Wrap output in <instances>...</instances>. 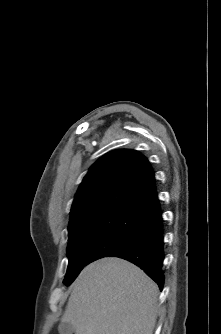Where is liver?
Instances as JSON below:
<instances>
[{"instance_id": "6515ba94", "label": "liver", "mask_w": 221, "mask_h": 334, "mask_svg": "<svg viewBox=\"0 0 221 334\" xmlns=\"http://www.w3.org/2000/svg\"><path fill=\"white\" fill-rule=\"evenodd\" d=\"M158 295L157 285L136 265L102 258L72 284L61 320L75 334H153Z\"/></svg>"}]
</instances>
